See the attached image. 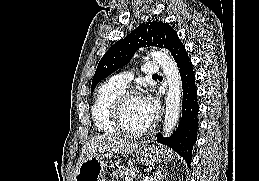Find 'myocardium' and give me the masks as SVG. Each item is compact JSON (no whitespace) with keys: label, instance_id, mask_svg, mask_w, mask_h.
Returning a JSON list of instances; mask_svg holds the SVG:
<instances>
[{"label":"myocardium","instance_id":"obj_1","mask_svg":"<svg viewBox=\"0 0 259 181\" xmlns=\"http://www.w3.org/2000/svg\"><path fill=\"white\" fill-rule=\"evenodd\" d=\"M134 97H138V93L135 90H124L115 100L113 105V119L118 130L127 136H141L151 131L156 125V118L145 127L140 129H131L126 126L124 122V107L126 102Z\"/></svg>","mask_w":259,"mask_h":181}]
</instances>
